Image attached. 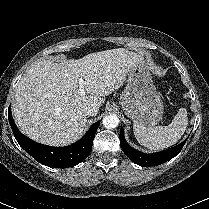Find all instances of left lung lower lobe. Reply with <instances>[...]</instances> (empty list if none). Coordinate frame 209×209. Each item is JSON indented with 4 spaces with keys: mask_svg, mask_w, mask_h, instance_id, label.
Masks as SVG:
<instances>
[{
    "mask_svg": "<svg viewBox=\"0 0 209 209\" xmlns=\"http://www.w3.org/2000/svg\"><path fill=\"white\" fill-rule=\"evenodd\" d=\"M186 140L179 145L166 149L161 152L153 153V154H146L142 153L140 151H137L136 149L132 148L125 140L123 129L121 127L120 131V146L122 150L125 152V154L136 164L148 167V166H156L160 165L176 155L179 154V152L182 150Z\"/></svg>",
    "mask_w": 209,
    "mask_h": 209,
    "instance_id": "1",
    "label": "left lung lower lobe"
}]
</instances>
